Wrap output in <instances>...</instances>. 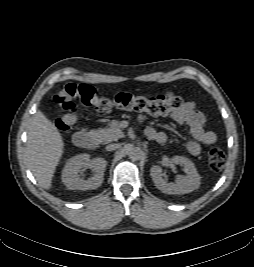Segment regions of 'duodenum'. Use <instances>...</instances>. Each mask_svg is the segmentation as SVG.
<instances>
[{
	"label": "duodenum",
	"mask_w": 254,
	"mask_h": 267,
	"mask_svg": "<svg viewBox=\"0 0 254 267\" xmlns=\"http://www.w3.org/2000/svg\"><path fill=\"white\" fill-rule=\"evenodd\" d=\"M74 144L80 148L92 150L98 145L97 139L88 132L79 131L73 137Z\"/></svg>",
	"instance_id": "410a0bca"
}]
</instances>
